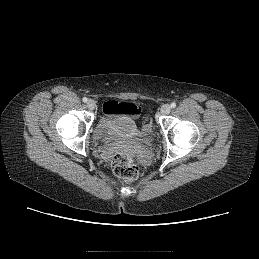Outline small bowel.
Listing matches in <instances>:
<instances>
[{
  "label": "small bowel",
  "instance_id": "1",
  "mask_svg": "<svg viewBox=\"0 0 259 259\" xmlns=\"http://www.w3.org/2000/svg\"><path fill=\"white\" fill-rule=\"evenodd\" d=\"M129 104L134 109L133 113H126L123 106ZM103 111L105 114L104 124L106 126L111 125L115 119H128L129 116L137 117L140 113V109L137 105L131 103H119L117 101H107L103 105Z\"/></svg>",
  "mask_w": 259,
  "mask_h": 259
}]
</instances>
